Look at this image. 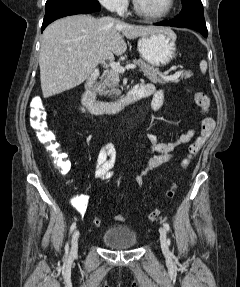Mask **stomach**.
I'll return each instance as SVG.
<instances>
[{
	"instance_id": "0dacf381",
	"label": "stomach",
	"mask_w": 240,
	"mask_h": 287,
	"mask_svg": "<svg viewBox=\"0 0 240 287\" xmlns=\"http://www.w3.org/2000/svg\"><path fill=\"white\" fill-rule=\"evenodd\" d=\"M176 35L171 31L141 36L137 47L140 56L153 66L168 65L176 54Z\"/></svg>"
}]
</instances>
